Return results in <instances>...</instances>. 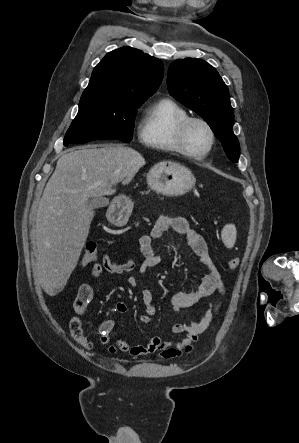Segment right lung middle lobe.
I'll list each match as a JSON object with an SVG mask.
<instances>
[{
	"label": "right lung middle lobe",
	"instance_id": "1",
	"mask_svg": "<svg viewBox=\"0 0 299 443\" xmlns=\"http://www.w3.org/2000/svg\"><path fill=\"white\" fill-rule=\"evenodd\" d=\"M144 102L82 95L78 114L64 137V146L98 139L130 142L136 110Z\"/></svg>",
	"mask_w": 299,
	"mask_h": 443
}]
</instances>
